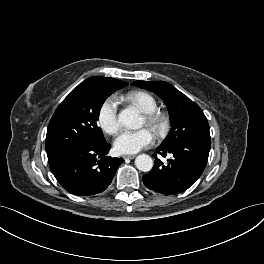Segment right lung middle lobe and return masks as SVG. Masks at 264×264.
Segmentation results:
<instances>
[{
  "label": "right lung middle lobe",
  "instance_id": "dd1d6c3e",
  "mask_svg": "<svg viewBox=\"0 0 264 264\" xmlns=\"http://www.w3.org/2000/svg\"><path fill=\"white\" fill-rule=\"evenodd\" d=\"M128 83L85 80L61 102L47 129L46 152L76 145L106 143L97 125L100 109L107 97Z\"/></svg>",
  "mask_w": 264,
  "mask_h": 264
}]
</instances>
